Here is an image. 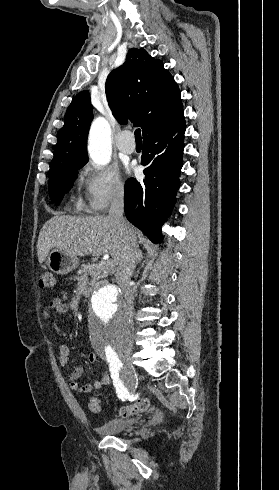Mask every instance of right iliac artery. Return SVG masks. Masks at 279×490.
Returning a JSON list of instances; mask_svg holds the SVG:
<instances>
[{"mask_svg": "<svg viewBox=\"0 0 279 490\" xmlns=\"http://www.w3.org/2000/svg\"><path fill=\"white\" fill-rule=\"evenodd\" d=\"M107 363L110 366V371L114 374H118V369L122 367L121 360L119 358L118 352H107L106 354ZM116 396L121 398L123 403H128L130 401V389L129 381L127 378H118L116 381Z\"/></svg>", "mask_w": 279, "mask_h": 490, "instance_id": "82829eb1", "label": "right iliac artery"}]
</instances>
